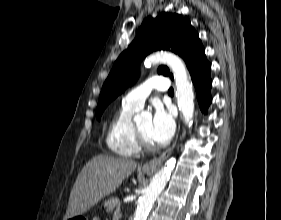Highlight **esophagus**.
I'll return each mask as SVG.
<instances>
[{
	"label": "esophagus",
	"instance_id": "1",
	"mask_svg": "<svg viewBox=\"0 0 281 220\" xmlns=\"http://www.w3.org/2000/svg\"><path fill=\"white\" fill-rule=\"evenodd\" d=\"M176 144V141L173 143V145L168 148L166 151H164L159 157L153 158L147 163H145L142 167V170L147 173H154L157 171L160 166L163 164V162L169 157L172 150L174 149Z\"/></svg>",
	"mask_w": 281,
	"mask_h": 220
}]
</instances>
